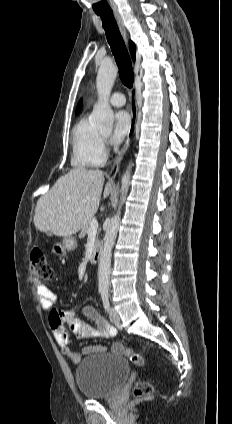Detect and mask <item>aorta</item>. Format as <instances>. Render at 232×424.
Returning a JSON list of instances; mask_svg holds the SVG:
<instances>
[{"instance_id":"762f6f07","label":"aorta","mask_w":232,"mask_h":424,"mask_svg":"<svg viewBox=\"0 0 232 424\" xmlns=\"http://www.w3.org/2000/svg\"><path fill=\"white\" fill-rule=\"evenodd\" d=\"M117 72L118 69L113 64H102L98 70L96 78L98 102L93 108L91 119L99 127L110 128L113 126L114 113L109 104V98L117 76ZM130 169L131 166L129 165L128 169L122 176L119 207L116 214L110 220L104 237V246L100 253L98 266V289L101 294H106L109 290L112 248L115 243L119 223L121 220V208L125 201L130 185Z\"/></svg>"}]
</instances>
